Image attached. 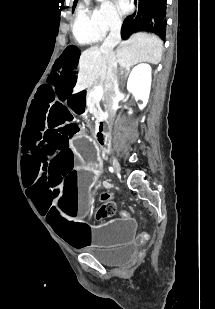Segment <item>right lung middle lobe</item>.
Wrapping results in <instances>:
<instances>
[{
  "label": "right lung middle lobe",
  "instance_id": "dd1d6c3e",
  "mask_svg": "<svg viewBox=\"0 0 215 309\" xmlns=\"http://www.w3.org/2000/svg\"><path fill=\"white\" fill-rule=\"evenodd\" d=\"M77 3V2H76ZM76 3H74V6H73V8H75V6H76Z\"/></svg>",
  "mask_w": 215,
  "mask_h": 309
}]
</instances>
